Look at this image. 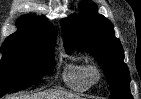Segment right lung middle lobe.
<instances>
[{
    "instance_id": "dd1d6c3e",
    "label": "right lung middle lobe",
    "mask_w": 141,
    "mask_h": 99,
    "mask_svg": "<svg viewBox=\"0 0 141 99\" xmlns=\"http://www.w3.org/2000/svg\"><path fill=\"white\" fill-rule=\"evenodd\" d=\"M54 47L26 41H5L1 46L0 97L38 82L54 67Z\"/></svg>"
}]
</instances>
